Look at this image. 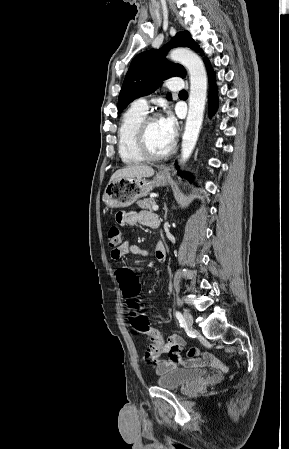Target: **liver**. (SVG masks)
Segmentation results:
<instances>
[{
    "label": "liver",
    "instance_id": "1",
    "mask_svg": "<svg viewBox=\"0 0 289 449\" xmlns=\"http://www.w3.org/2000/svg\"><path fill=\"white\" fill-rule=\"evenodd\" d=\"M154 175V169L147 165H133L117 170L112 176L110 181L118 178H143L151 177Z\"/></svg>",
    "mask_w": 289,
    "mask_h": 449
}]
</instances>
